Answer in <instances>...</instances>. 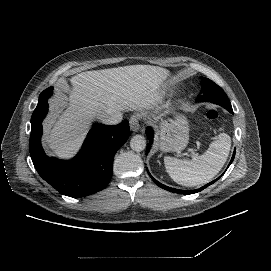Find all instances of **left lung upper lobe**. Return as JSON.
Returning <instances> with one entry per match:
<instances>
[{"mask_svg":"<svg viewBox=\"0 0 271 271\" xmlns=\"http://www.w3.org/2000/svg\"><path fill=\"white\" fill-rule=\"evenodd\" d=\"M202 95H199L197 102L209 101L224 107L226 110H232L230 101L223 91L216 83L208 78L201 77Z\"/></svg>","mask_w":271,"mask_h":271,"instance_id":"1","label":"left lung upper lobe"}]
</instances>
